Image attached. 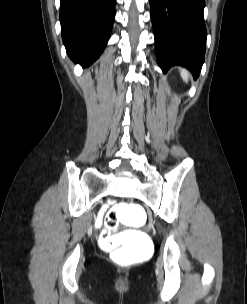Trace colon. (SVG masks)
I'll use <instances>...</instances> for the list:
<instances>
[{
  "label": "colon",
  "mask_w": 247,
  "mask_h": 304,
  "mask_svg": "<svg viewBox=\"0 0 247 304\" xmlns=\"http://www.w3.org/2000/svg\"><path fill=\"white\" fill-rule=\"evenodd\" d=\"M104 229H101L97 244L100 253H113L116 261L127 262L133 259H152L155 252V241L144 233V229H136L135 225H148L149 215L142 210L141 202H116L105 212ZM119 225H126L120 237L114 236Z\"/></svg>",
  "instance_id": "colon-1"
}]
</instances>
